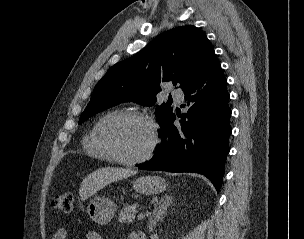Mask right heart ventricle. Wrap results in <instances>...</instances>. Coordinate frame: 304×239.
Wrapping results in <instances>:
<instances>
[{"mask_svg": "<svg viewBox=\"0 0 304 239\" xmlns=\"http://www.w3.org/2000/svg\"><path fill=\"white\" fill-rule=\"evenodd\" d=\"M118 110H113L102 115L92 126L89 132L85 135L82 141V146L84 152L94 158L110 161L111 158L107 152L102 148L98 140V133L101 126L106 120H108L113 115L119 113Z\"/></svg>", "mask_w": 304, "mask_h": 239, "instance_id": "right-heart-ventricle-1", "label": "right heart ventricle"}]
</instances>
